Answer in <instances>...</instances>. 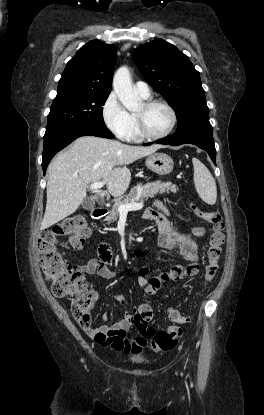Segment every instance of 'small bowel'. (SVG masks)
I'll return each instance as SVG.
<instances>
[{"instance_id":"c3829d8e","label":"small bowel","mask_w":264,"mask_h":415,"mask_svg":"<svg viewBox=\"0 0 264 415\" xmlns=\"http://www.w3.org/2000/svg\"><path fill=\"white\" fill-rule=\"evenodd\" d=\"M168 209L160 201H155L153 207L147 208L142 217L147 222L154 223L159 230V245L161 248L180 255L190 265L194 267L192 275L196 273V263L198 260V245L196 239L204 234L202 227H196L190 234L179 232L169 223L166 215ZM88 274H97L104 279H113L117 276L116 269H111L98 260H90L82 267ZM150 267L142 264L136 268L137 282L144 292L154 289L153 279L150 276ZM114 298L124 308L127 307L126 300L119 294ZM138 308L135 307L132 312H126L125 315L113 325L102 324L95 328L85 329L88 336L92 337L97 345L104 347H113L126 354L140 356L145 346V339L130 340L126 337V332L131 327L134 316ZM177 311V310H170ZM169 312V314H170ZM109 317L108 313L103 314V319Z\"/></svg>"}]
</instances>
